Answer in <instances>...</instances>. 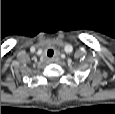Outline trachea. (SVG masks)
Instances as JSON below:
<instances>
[{
  "instance_id": "3493384b",
  "label": "trachea",
  "mask_w": 115,
  "mask_h": 114,
  "mask_svg": "<svg viewBox=\"0 0 115 114\" xmlns=\"http://www.w3.org/2000/svg\"><path fill=\"white\" fill-rule=\"evenodd\" d=\"M47 55L49 57H52L54 55V51L52 49H49L48 52H47Z\"/></svg>"
}]
</instances>
